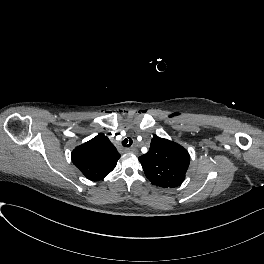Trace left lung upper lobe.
Listing matches in <instances>:
<instances>
[{"label": "left lung upper lobe", "instance_id": "left-lung-upper-lobe-1", "mask_svg": "<svg viewBox=\"0 0 264 264\" xmlns=\"http://www.w3.org/2000/svg\"><path fill=\"white\" fill-rule=\"evenodd\" d=\"M139 161L152 184L164 188H175L185 179L190 156L181 145L155 136L149 151L140 156Z\"/></svg>", "mask_w": 264, "mask_h": 264}]
</instances>
